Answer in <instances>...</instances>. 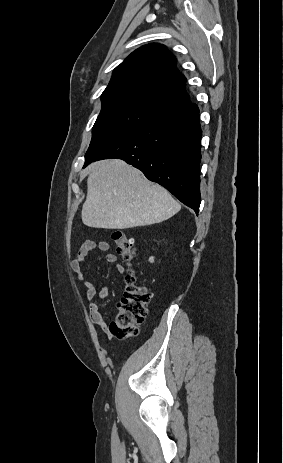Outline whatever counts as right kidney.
Returning <instances> with one entry per match:
<instances>
[{
	"label": "right kidney",
	"instance_id": "obj_1",
	"mask_svg": "<svg viewBox=\"0 0 283 463\" xmlns=\"http://www.w3.org/2000/svg\"><path fill=\"white\" fill-rule=\"evenodd\" d=\"M149 261H150V262H153V261H154V258H153V257H150V258H149Z\"/></svg>",
	"mask_w": 283,
	"mask_h": 463
}]
</instances>
